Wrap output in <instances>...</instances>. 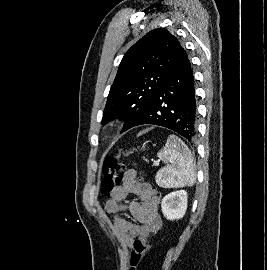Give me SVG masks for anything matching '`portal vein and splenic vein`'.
I'll use <instances>...</instances> for the list:
<instances>
[{"mask_svg": "<svg viewBox=\"0 0 267 270\" xmlns=\"http://www.w3.org/2000/svg\"><path fill=\"white\" fill-rule=\"evenodd\" d=\"M159 164V160L158 161H154V165H158Z\"/></svg>", "mask_w": 267, "mask_h": 270, "instance_id": "portal-vein-and-splenic-vein-1", "label": "portal vein and splenic vein"}]
</instances>
